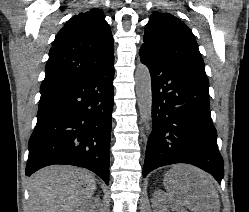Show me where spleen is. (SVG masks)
<instances>
[{
	"mask_svg": "<svg viewBox=\"0 0 249 212\" xmlns=\"http://www.w3.org/2000/svg\"><path fill=\"white\" fill-rule=\"evenodd\" d=\"M173 172H174V170H170V172H168V174H166V176H168V178H170V176H172ZM165 180H166V178H165ZM164 184L166 186L167 192H169L170 198H172V194H171L170 190H173V188H174L173 184H166V182H164Z\"/></svg>",
	"mask_w": 249,
	"mask_h": 212,
	"instance_id": "obj_1",
	"label": "spleen"
}]
</instances>
